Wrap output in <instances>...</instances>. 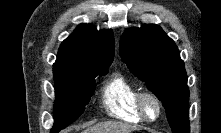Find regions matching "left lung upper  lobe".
<instances>
[{
  "mask_svg": "<svg viewBox=\"0 0 221 133\" xmlns=\"http://www.w3.org/2000/svg\"><path fill=\"white\" fill-rule=\"evenodd\" d=\"M120 55L130 71L162 101L173 133H189V90L178 48L161 27L143 25L124 32Z\"/></svg>",
  "mask_w": 221,
  "mask_h": 133,
  "instance_id": "1",
  "label": "left lung upper lobe"
}]
</instances>
